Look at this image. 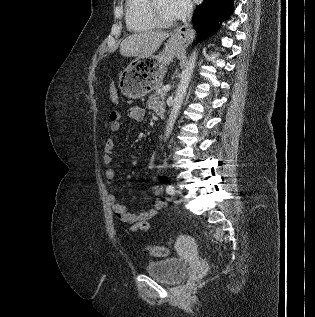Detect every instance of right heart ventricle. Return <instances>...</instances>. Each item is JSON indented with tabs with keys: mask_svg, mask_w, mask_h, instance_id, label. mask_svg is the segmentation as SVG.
I'll use <instances>...</instances> for the list:
<instances>
[{
	"mask_svg": "<svg viewBox=\"0 0 315 317\" xmlns=\"http://www.w3.org/2000/svg\"><path fill=\"white\" fill-rule=\"evenodd\" d=\"M148 0H126L125 23L129 31L145 32L155 28L147 11Z\"/></svg>",
	"mask_w": 315,
	"mask_h": 317,
	"instance_id": "e07e8e85",
	"label": "right heart ventricle"
}]
</instances>
